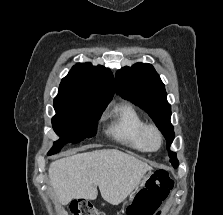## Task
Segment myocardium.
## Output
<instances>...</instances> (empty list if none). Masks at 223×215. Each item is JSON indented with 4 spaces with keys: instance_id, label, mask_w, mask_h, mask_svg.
<instances>
[{
    "instance_id": "myocardium-1",
    "label": "myocardium",
    "mask_w": 223,
    "mask_h": 215,
    "mask_svg": "<svg viewBox=\"0 0 223 215\" xmlns=\"http://www.w3.org/2000/svg\"><path fill=\"white\" fill-rule=\"evenodd\" d=\"M151 134H154L157 138L156 146H152L149 143V136ZM142 143H143L144 150L148 152H156L160 149L162 145V134L156 125L146 124L144 126L143 131H142Z\"/></svg>"
}]
</instances>
